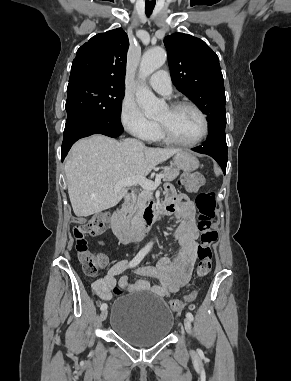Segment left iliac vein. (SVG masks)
Listing matches in <instances>:
<instances>
[{
    "label": "left iliac vein",
    "mask_w": 291,
    "mask_h": 381,
    "mask_svg": "<svg viewBox=\"0 0 291 381\" xmlns=\"http://www.w3.org/2000/svg\"><path fill=\"white\" fill-rule=\"evenodd\" d=\"M184 327H185V330L187 331V333L191 334L192 327H191V322L188 318L184 319Z\"/></svg>",
    "instance_id": "left-iliac-vein-1"
}]
</instances>
